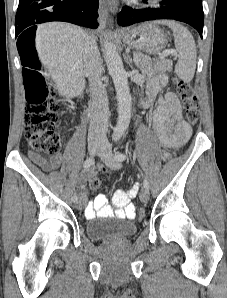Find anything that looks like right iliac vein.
<instances>
[{
    "label": "right iliac vein",
    "instance_id": "1",
    "mask_svg": "<svg viewBox=\"0 0 227 298\" xmlns=\"http://www.w3.org/2000/svg\"><path fill=\"white\" fill-rule=\"evenodd\" d=\"M101 146L98 142H90L88 144V150L90 155H95L99 150ZM75 206L77 209H82L85 206V201L83 199H79L75 201Z\"/></svg>",
    "mask_w": 227,
    "mask_h": 298
}]
</instances>
